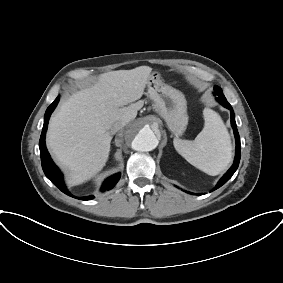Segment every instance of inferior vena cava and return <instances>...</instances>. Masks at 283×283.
<instances>
[{"instance_id": "inferior-vena-cava-1", "label": "inferior vena cava", "mask_w": 283, "mask_h": 283, "mask_svg": "<svg viewBox=\"0 0 283 283\" xmlns=\"http://www.w3.org/2000/svg\"><path fill=\"white\" fill-rule=\"evenodd\" d=\"M124 125H125V124H124L123 122H120V121L115 122V123L111 126V128H110V133H111V134H115V133L118 132L120 129H122Z\"/></svg>"}]
</instances>
